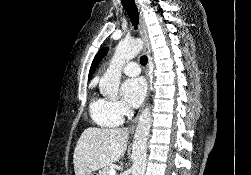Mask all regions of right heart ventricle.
<instances>
[{
    "mask_svg": "<svg viewBox=\"0 0 251 175\" xmlns=\"http://www.w3.org/2000/svg\"><path fill=\"white\" fill-rule=\"evenodd\" d=\"M89 112L93 120L102 127L115 128L119 125L110 110V102L101 97H94L89 103Z\"/></svg>",
    "mask_w": 251,
    "mask_h": 175,
    "instance_id": "obj_1",
    "label": "right heart ventricle"
}]
</instances>
